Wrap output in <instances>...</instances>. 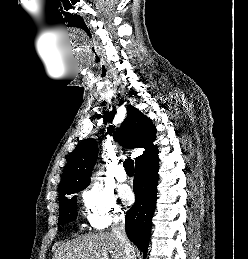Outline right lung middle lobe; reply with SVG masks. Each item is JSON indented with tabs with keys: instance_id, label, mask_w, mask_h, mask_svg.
Masks as SVG:
<instances>
[{
	"instance_id": "obj_1",
	"label": "right lung middle lobe",
	"mask_w": 248,
	"mask_h": 259,
	"mask_svg": "<svg viewBox=\"0 0 248 259\" xmlns=\"http://www.w3.org/2000/svg\"><path fill=\"white\" fill-rule=\"evenodd\" d=\"M86 187L74 189L69 191L66 195L59 197L60 204V217L59 223L64 224L66 221H73L77 216V208H76V196L70 197L67 195L78 193L79 191L85 189Z\"/></svg>"
}]
</instances>
